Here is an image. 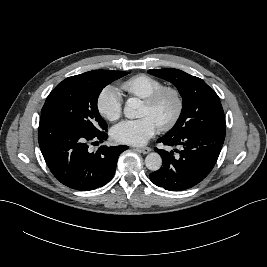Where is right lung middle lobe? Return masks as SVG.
Here are the masks:
<instances>
[{"mask_svg":"<svg viewBox=\"0 0 267 267\" xmlns=\"http://www.w3.org/2000/svg\"><path fill=\"white\" fill-rule=\"evenodd\" d=\"M125 75V71L94 70L68 77L51 91L41 117H51L92 134L104 132L107 124L97 108L99 94Z\"/></svg>","mask_w":267,"mask_h":267,"instance_id":"dd1d6c3e","label":"right lung middle lobe"}]
</instances>
